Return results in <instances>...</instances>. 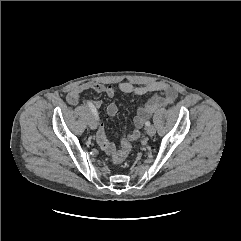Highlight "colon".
<instances>
[{
  "mask_svg": "<svg viewBox=\"0 0 241 241\" xmlns=\"http://www.w3.org/2000/svg\"><path fill=\"white\" fill-rule=\"evenodd\" d=\"M131 149V142L128 137H123L121 140V149L113 154L111 161L113 165L120 166L125 161Z\"/></svg>",
  "mask_w": 241,
  "mask_h": 241,
  "instance_id": "5ec220e1",
  "label": "colon"
}]
</instances>
